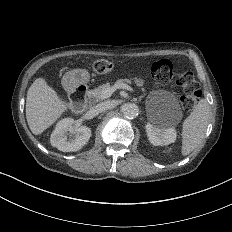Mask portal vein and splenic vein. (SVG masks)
I'll list each match as a JSON object with an SVG mask.
<instances>
[{
    "label": "portal vein and splenic vein",
    "mask_w": 232,
    "mask_h": 232,
    "mask_svg": "<svg viewBox=\"0 0 232 232\" xmlns=\"http://www.w3.org/2000/svg\"><path fill=\"white\" fill-rule=\"evenodd\" d=\"M117 89H127L128 91H133L132 87H130L126 83L115 84L111 88L103 91V98L105 99L110 97L113 94V92H115Z\"/></svg>",
    "instance_id": "obj_1"
}]
</instances>
